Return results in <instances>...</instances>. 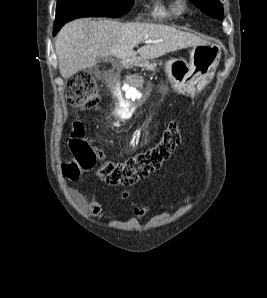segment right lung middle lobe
Here are the masks:
<instances>
[{
  "label": "right lung middle lobe",
  "instance_id": "obj_1",
  "mask_svg": "<svg viewBox=\"0 0 267 298\" xmlns=\"http://www.w3.org/2000/svg\"><path fill=\"white\" fill-rule=\"evenodd\" d=\"M134 0H58L55 24L80 17L116 18L129 12Z\"/></svg>",
  "mask_w": 267,
  "mask_h": 298
}]
</instances>
